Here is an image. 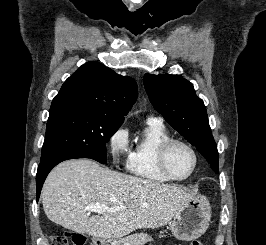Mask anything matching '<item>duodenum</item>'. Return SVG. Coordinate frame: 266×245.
I'll list each match as a JSON object with an SVG mask.
<instances>
[{
  "mask_svg": "<svg viewBox=\"0 0 266 245\" xmlns=\"http://www.w3.org/2000/svg\"><path fill=\"white\" fill-rule=\"evenodd\" d=\"M93 245H110L109 237H94Z\"/></svg>",
  "mask_w": 266,
  "mask_h": 245,
  "instance_id": "1",
  "label": "duodenum"
}]
</instances>
